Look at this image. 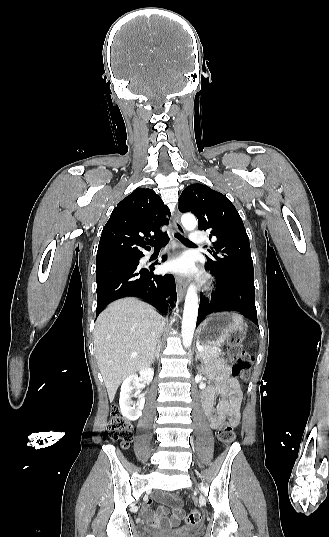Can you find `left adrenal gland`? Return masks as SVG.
<instances>
[{
	"mask_svg": "<svg viewBox=\"0 0 329 537\" xmlns=\"http://www.w3.org/2000/svg\"><path fill=\"white\" fill-rule=\"evenodd\" d=\"M195 359H196V361L199 359V360L201 361V363H203L202 357H201V355H200V353H199L198 350H196V356H195ZM197 370H198V371H201V367L198 366V367H197Z\"/></svg>",
	"mask_w": 329,
	"mask_h": 537,
	"instance_id": "a2214340",
	"label": "left adrenal gland"
}]
</instances>
